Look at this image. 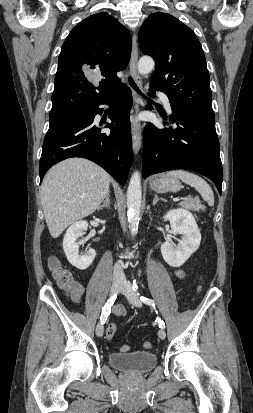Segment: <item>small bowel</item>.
Listing matches in <instances>:
<instances>
[{
  "mask_svg": "<svg viewBox=\"0 0 253 413\" xmlns=\"http://www.w3.org/2000/svg\"><path fill=\"white\" fill-rule=\"evenodd\" d=\"M176 277L179 279H183L185 274L182 270H176L174 272ZM68 297L75 303H79L84 295L85 288L84 286L77 280H73L67 286L62 287ZM113 313L117 316H125L126 310L123 306L117 305L113 308Z\"/></svg>",
  "mask_w": 253,
  "mask_h": 413,
  "instance_id": "c3829d8e",
  "label": "small bowel"
}]
</instances>
